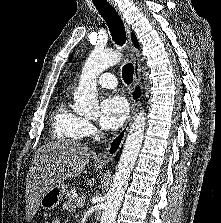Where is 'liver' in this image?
Wrapping results in <instances>:
<instances>
[{
  "mask_svg": "<svg viewBox=\"0 0 221 223\" xmlns=\"http://www.w3.org/2000/svg\"><path fill=\"white\" fill-rule=\"evenodd\" d=\"M94 151L86 145L59 140L37 150L27 176L26 216L30 221L41 197L54 185L83 172Z\"/></svg>",
  "mask_w": 221,
  "mask_h": 223,
  "instance_id": "obj_1",
  "label": "liver"
}]
</instances>
